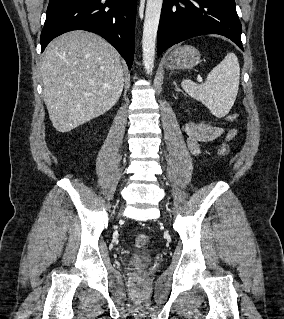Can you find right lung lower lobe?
I'll use <instances>...</instances> for the list:
<instances>
[{"mask_svg": "<svg viewBox=\"0 0 284 319\" xmlns=\"http://www.w3.org/2000/svg\"><path fill=\"white\" fill-rule=\"evenodd\" d=\"M136 0H50L41 48L55 37L72 30L99 34L126 60L129 69L134 55Z\"/></svg>", "mask_w": 284, "mask_h": 319, "instance_id": "obj_1", "label": "right lung lower lobe"}]
</instances>
